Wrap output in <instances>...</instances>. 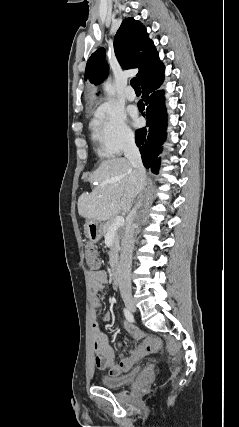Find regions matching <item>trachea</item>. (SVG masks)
Masks as SVG:
<instances>
[{
    "label": "trachea",
    "mask_w": 239,
    "mask_h": 427,
    "mask_svg": "<svg viewBox=\"0 0 239 427\" xmlns=\"http://www.w3.org/2000/svg\"><path fill=\"white\" fill-rule=\"evenodd\" d=\"M131 86L134 88L135 92H141L140 83L138 78L134 77L130 82Z\"/></svg>",
    "instance_id": "1"
}]
</instances>
